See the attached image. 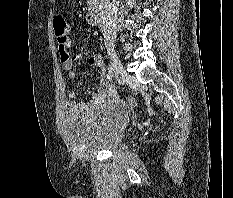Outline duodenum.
<instances>
[{
    "instance_id": "obj_1",
    "label": "duodenum",
    "mask_w": 233,
    "mask_h": 198,
    "mask_svg": "<svg viewBox=\"0 0 233 198\" xmlns=\"http://www.w3.org/2000/svg\"><path fill=\"white\" fill-rule=\"evenodd\" d=\"M87 21L90 24H98L101 21L100 9L96 4L90 6L87 13Z\"/></svg>"
}]
</instances>
